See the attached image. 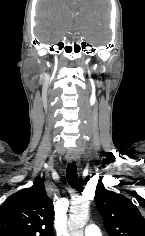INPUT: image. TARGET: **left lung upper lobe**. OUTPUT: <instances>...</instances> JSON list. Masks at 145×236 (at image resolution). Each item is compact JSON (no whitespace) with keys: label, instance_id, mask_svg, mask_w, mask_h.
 <instances>
[{"label":"left lung upper lobe","instance_id":"5c2ea615","mask_svg":"<svg viewBox=\"0 0 145 236\" xmlns=\"http://www.w3.org/2000/svg\"><path fill=\"white\" fill-rule=\"evenodd\" d=\"M95 201L109 236H145V219L128 198L97 185Z\"/></svg>","mask_w":145,"mask_h":236}]
</instances>
